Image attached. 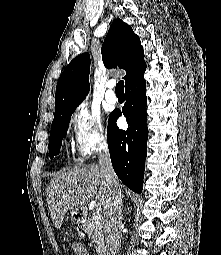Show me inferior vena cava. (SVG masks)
Segmentation results:
<instances>
[{"label": "inferior vena cava", "instance_id": "1", "mask_svg": "<svg viewBox=\"0 0 221 255\" xmlns=\"http://www.w3.org/2000/svg\"><path fill=\"white\" fill-rule=\"evenodd\" d=\"M99 167L105 180L111 183V198L104 210V234L108 251L111 255H120L121 225H122V191L116 182L117 176L113 170L108 145L105 140L99 143Z\"/></svg>", "mask_w": 221, "mask_h": 255}]
</instances>
